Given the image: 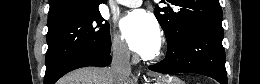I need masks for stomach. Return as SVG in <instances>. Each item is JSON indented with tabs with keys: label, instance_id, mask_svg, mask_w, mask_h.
<instances>
[{
	"label": "stomach",
	"instance_id": "1",
	"mask_svg": "<svg viewBox=\"0 0 260 84\" xmlns=\"http://www.w3.org/2000/svg\"><path fill=\"white\" fill-rule=\"evenodd\" d=\"M154 84H184V82L175 76L164 75L157 77Z\"/></svg>",
	"mask_w": 260,
	"mask_h": 84
}]
</instances>
